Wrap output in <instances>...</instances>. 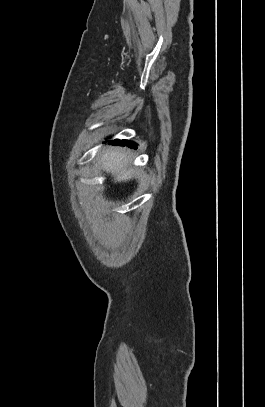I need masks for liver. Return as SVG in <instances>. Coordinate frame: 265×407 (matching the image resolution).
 Listing matches in <instances>:
<instances>
[{
    "label": "liver",
    "instance_id": "obj_1",
    "mask_svg": "<svg viewBox=\"0 0 265 407\" xmlns=\"http://www.w3.org/2000/svg\"><path fill=\"white\" fill-rule=\"evenodd\" d=\"M98 164L114 175L115 182H126L133 178V169H127L125 153L118 150H107L98 159Z\"/></svg>",
    "mask_w": 265,
    "mask_h": 407
}]
</instances>
